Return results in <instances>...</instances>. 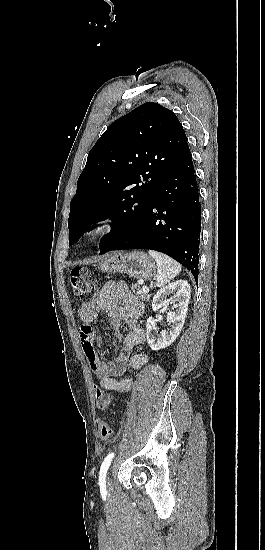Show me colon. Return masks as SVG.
I'll return each mask as SVG.
<instances>
[{"label": "colon", "instance_id": "obj_1", "mask_svg": "<svg viewBox=\"0 0 265 550\" xmlns=\"http://www.w3.org/2000/svg\"><path fill=\"white\" fill-rule=\"evenodd\" d=\"M71 292L75 296H83L93 293L97 289V280L91 272L84 268H74L69 274ZM95 399L97 406L102 411H107L112 403V396L99 388H95ZM98 435L104 441L112 438V429L107 422L98 421Z\"/></svg>", "mask_w": 265, "mask_h": 550}]
</instances>
